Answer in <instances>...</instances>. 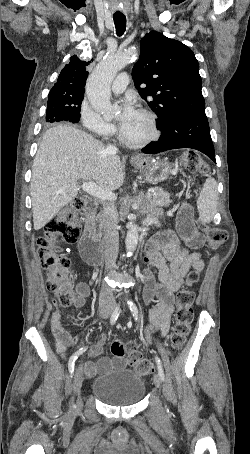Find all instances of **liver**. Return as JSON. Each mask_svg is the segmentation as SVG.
Masks as SVG:
<instances>
[{
  "label": "liver",
  "instance_id": "1",
  "mask_svg": "<svg viewBox=\"0 0 250 454\" xmlns=\"http://www.w3.org/2000/svg\"><path fill=\"white\" fill-rule=\"evenodd\" d=\"M93 181L112 192L124 183L120 157L91 135L67 125L54 126L43 135L31 178L34 229L43 228L77 196L78 180Z\"/></svg>",
  "mask_w": 250,
  "mask_h": 454
}]
</instances>
